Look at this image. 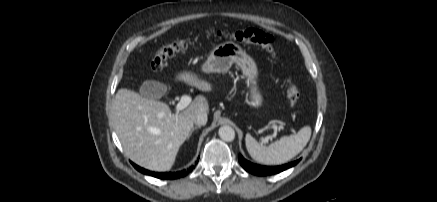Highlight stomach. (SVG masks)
<instances>
[{
  "label": "stomach",
  "instance_id": "obj_1",
  "mask_svg": "<svg viewBox=\"0 0 437 202\" xmlns=\"http://www.w3.org/2000/svg\"><path fill=\"white\" fill-rule=\"evenodd\" d=\"M236 63L247 78L249 92L247 104L250 108L259 109L264 102L257 84L258 69L255 61L237 43L227 41L217 45L202 66L205 73H224Z\"/></svg>",
  "mask_w": 437,
  "mask_h": 202
}]
</instances>
